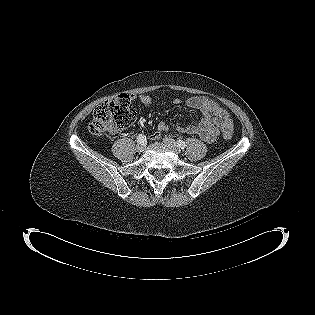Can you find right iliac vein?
<instances>
[{"mask_svg": "<svg viewBox=\"0 0 315 315\" xmlns=\"http://www.w3.org/2000/svg\"><path fill=\"white\" fill-rule=\"evenodd\" d=\"M136 149H137L138 152H143L144 149H145V146H144V144H140V143H139V144L137 145Z\"/></svg>", "mask_w": 315, "mask_h": 315, "instance_id": "right-iliac-vein-1", "label": "right iliac vein"}]
</instances>
